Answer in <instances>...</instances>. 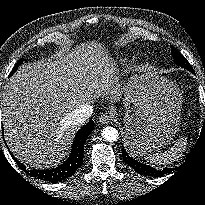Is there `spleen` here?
Wrapping results in <instances>:
<instances>
[{
  "label": "spleen",
  "mask_w": 205,
  "mask_h": 205,
  "mask_svg": "<svg viewBox=\"0 0 205 205\" xmlns=\"http://www.w3.org/2000/svg\"><path fill=\"white\" fill-rule=\"evenodd\" d=\"M184 148L183 142H177L170 150L161 154L148 155L146 159L155 164H167L178 159Z\"/></svg>",
  "instance_id": "3e777b00"
}]
</instances>
